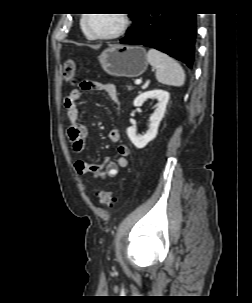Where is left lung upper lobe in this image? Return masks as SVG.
Returning a JSON list of instances; mask_svg holds the SVG:
<instances>
[{
  "instance_id": "1",
  "label": "left lung upper lobe",
  "mask_w": 252,
  "mask_h": 303,
  "mask_svg": "<svg viewBox=\"0 0 252 303\" xmlns=\"http://www.w3.org/2000/svg\"><path fill=\"white\" fill-rule=\"evenodd\" d=\"M129 17L132 18L133 25L128 29L127 36L133 31V28L135 27V25L140 17V13L130 14Z\"/></svg>"
}]
</instances>
